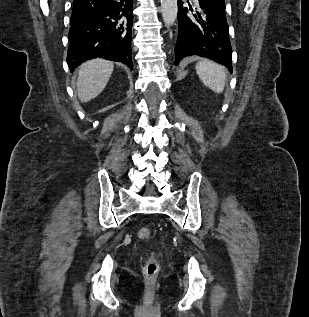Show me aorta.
<instances>
[{
	"label": "aorta",
	"instance_id": "aorta-1",
	"mask_svg": "<svg viewBox=\"0 0 309 317\" xmlns=\"http://www.w3.org/2000/svg\"><path fill=\"white\" fill-rule=\"evenodd\" d=\"M161 12L165 25H173L178 12L177 0H161Z\"/></svg>",
	"mask_w": 309,
	"mask_h": 317
}]
</instances>
